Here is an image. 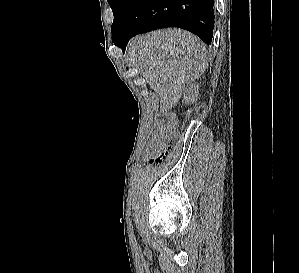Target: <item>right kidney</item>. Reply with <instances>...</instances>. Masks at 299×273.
Returning <instances> with one entry per match:
<instances>
[{
	"mask_svg": "<svg viewBox=\"0 0 299 273\" xmlns=\"http://www.w3.org/2000/svg\"><path fill=\"white\" fill-rule=\"evenodd\" d=\"M198 89V84H190L189 88L185 90L184 99L187 103H193L197 100L199 94Z\"/></svg>",
	"mask_w": 299,
	"mask_h": 273,
	"instance_id": "ca27d5eb",
	"label": "right kidney"
}]
</instances>
